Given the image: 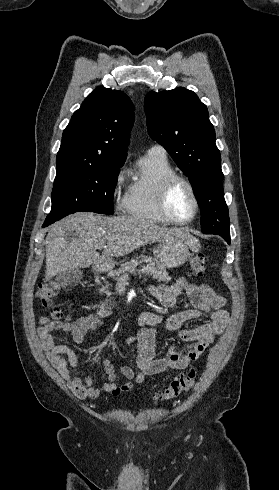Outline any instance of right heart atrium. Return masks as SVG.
<instances>
[{
	"mask_svg": "<svg viewBox=\"0 0 279 490\" xmlns=\"http://www.w3.org/2000/svg\"><path fill=\"white\" fill-rule=\"evenodd\" d=\"M125 181V170L122 168L120 169L116 176H115V181H114V191L115 193H119V191L122 189Z\"/></svg>",
	"mask_w": 279,
	"mask_h": 490,
	"instance_id": "1",
	"label": "right heart atrium"
}]
</instances>
